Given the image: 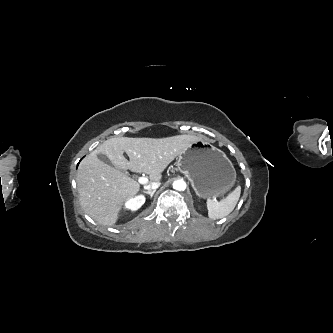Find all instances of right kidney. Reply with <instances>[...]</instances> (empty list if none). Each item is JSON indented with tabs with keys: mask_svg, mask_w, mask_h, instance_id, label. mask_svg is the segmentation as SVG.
Listing matches in <instances>:
<instances>
[{
	"mask_svg": "<svg viewBox=\"0 0 333 333\" xmlns=\"http://www.w3.org/2000/svg\"><path fill=\"white\" fill-rule=\"evenodd\" d=\"M144 202L145 198L143 196H138L134 199H130L129 201H127L126 207L128 209H131L132 211H136L144 204Z\"/></svg>",
	"mask_w": 333,
	"mask_h": 333,
	"instance_id": "right-kidney-1",
	"label": "right kidney"
}]
</instances>
